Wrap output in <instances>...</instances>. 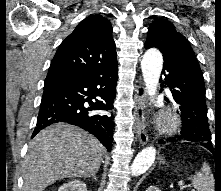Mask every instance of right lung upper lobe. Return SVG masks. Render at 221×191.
<instances>
[{"instance_id": "1", "label": "right lung upper lobe", "mask_w": 221, "mask_h": 191, "mask_svg": "<svg viewBox=\"0 0 221 191\" xmlns=\"http://www.w3.org/2000/svg\"><path fill=\"white\" fill-rule=\"evenodd\" d=\"M110 21L90 15L60 44L45 82L95 75L117 66Z\"/></svg>"}]
</instances>
